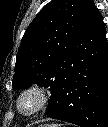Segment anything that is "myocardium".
<instances>
[{
	"instance_id": "myocardium-1",
	"label": "myocardium",
	"mask_w": 108,
	"mask_h": 127,
	"mask_svg": "<svg viewBox=\"0 0 108 127\" xmlns=\"http://www.w3.org/2000/svg\"><path fill=\"white\" fill-rule=\"evenodd\" d=\"M49 93L41 85L33 84L24 88L16 99V108L24 116L37 114L49 102Z\"/></svg>"
}]
</instances>
